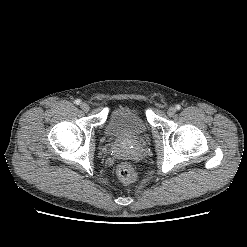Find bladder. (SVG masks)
Segmentation results:
<instances>
[{
    "label": "bladder",
    "instance_id": "bladder-1",
    "mask_svg": "<svg viewBox=\"0 0 247 247\" xmlns=\"http://www.w3.org/2000/svg\"><path fill=\"white\" fill-rule=\"evenodd\" d=\"M148 131L149 127L143 114L130 107L114 109L106 123L107 135L123 141H140Z\"/></svg>",
    "mask_w": 247,
    "mask_h": 247
}]
</instances>
